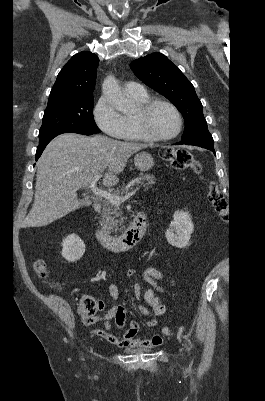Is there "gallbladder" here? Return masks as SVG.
Masks as SVG:
<instances>
[{
  "label": "gallbladder",
  "instance_id": "bac80fb5",
  "mask_svg": "<svg viewBox=\"0 0 265 401\" xmlns=\"http://www.w3.org/2000/svg\"><path fill=\"white\" fill-rule=\"evenodd\" d=\"M82 203H84V205H91V201H89V198H82Z\"/></svg>",
  "mask_w": 265,
  "mask_h": 401
}]
</instances>
